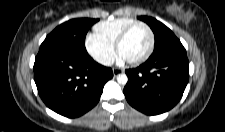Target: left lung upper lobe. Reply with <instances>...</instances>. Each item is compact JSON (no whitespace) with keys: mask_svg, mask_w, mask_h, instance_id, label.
Here are the masks:
<instances>
[{"mask_svg":"<svg viewBox=\"0 0 225 132\" xmlns=\"http://www.w3.org/2000/svg\"><path fill=\"white\" fill-rule=\"evenodd\" d=\"M138 18L146 22L154 32L155 47L150 57H155L171 50L184 48L180 40L163 23L152 17L139 16Z\"/></svg>","mask_w":225,"mask_h":132,"instance_id":"1","label":"left lung upper lobe"}]
</instances>
